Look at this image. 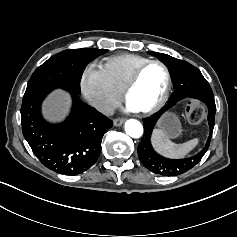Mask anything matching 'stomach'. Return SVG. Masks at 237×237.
Here are the masks:
<instances>
[{
  "label": "stomach",
  "mask_w": 237,
  "mask_h": 237,
  "mask_svg": "<svg viewBox=\"0 0 237 237\" xmlns=\"http://www.w3.org/2000/svg\"><path fill=\"white\" fill-rule=\"evenodd\" d=\"M158 127L164 131L169 138H177L181 135V123L178 117L171 113H165L158 122Z\"/></svg>",
  "instance_id": "1"
}]
</instances>
